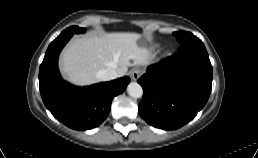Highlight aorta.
<instances>
[{"label":"aorta","mask_w":258,"mask_h":158,"mask_svg":"<svg viewBox=\"0 0 258 158\" xmlns=\"http://www.w3.org/2000/svg\"><path fill=\"white\" fill-rule=\"evenodd\" d=\"M128 94L133 98H140L143 95V89L140 84L131 82L127 87Z\"/></svg>","instance_id":"1"}]
</instances>
